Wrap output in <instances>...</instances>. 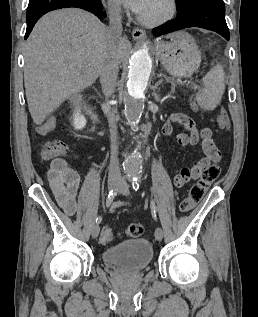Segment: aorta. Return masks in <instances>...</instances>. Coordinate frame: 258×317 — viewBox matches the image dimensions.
I'll return each instance as SVG.
<instances>
[{
	"label": "aorta",
	"instance_id": "aorta-1",
	"mask_svg": "<svg viewBox=\"0 0 258 317\" xmlns=\"http://www.w3.org/2000/svg\"><path fill=\"white\" fill-rule=\"evenodd\" d=\"M152 69V60L148 48L143 45L130 59L127 94L125 97V116L131 125H137L144 110V92L147 87ZM142 169L141 155L134 151L124 163L125 172L133 177L140 174Z\"/></svg>",
	"mask_w": 258,
	"mask_h": 317
}]
</instances>
